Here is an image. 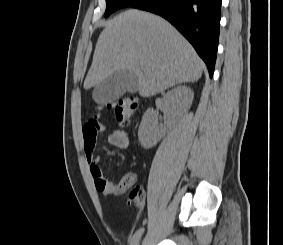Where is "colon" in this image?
<instances>
[{"label": "colon", "mask_w": 283, "mask_h": 245, "mask_svg": "<svg viewBox=\"0 0 283 245\" xmlns=\"http://www.w3.org/2000/svg\"><path fill=\"white\" fill-rule=\"evenodd\" d=\"M105 107L112 109L118 122L121 125L126 126L129 124L131 117L137 110L138 100L134 97H124L106 106H100L99 109H103ZM126 189H128V201L140 206L143 203L142 190L138 186H132L131 183L128 184Z\"/></svg>", "instance_id": "obj_1"}]
</instances>
